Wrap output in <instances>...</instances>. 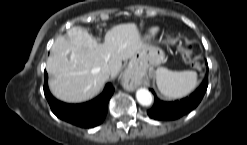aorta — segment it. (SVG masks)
Masks as SVG:
<instances>
[{
  "instance_id": "obj_1",
  "label": "aorta",
  "mask_w": 247,
  "mask_h": 145,
  "mask_svg": "<svg viewBox=\"0 0 247 145\" xmlns=\"http://www.w3.org/2000/svg\"><path fill=\"white\" fill-rule=\"evenodd\" d=\"M136 98L142 106H149L153 102L151 92L146 88H140L136 91Z\"/></svg>"
}]
</instances>
